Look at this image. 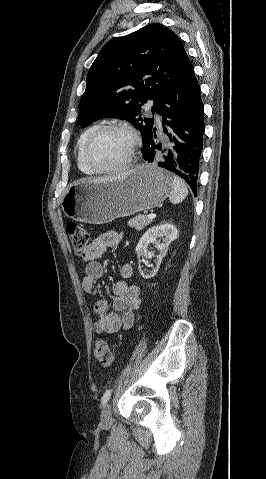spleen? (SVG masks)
Masks as SVG:
<instances>
[{
    "mask_svg": "<svg viewBox=\"0 0 266 479\" xmlns=\"http://www.w3.org/2000/svg\"><path fill=\"white\" fill-rule=\"evenodd\" d=\"M188 195V189L186 184L177 176L173 177L172 191L170 193V202L172 204H178L182 202Z\"/></svg>",
    "mask_w": 266,
    "mask_h": 479,
    "instance_id": "obj_1",
    "label": "spleen"
}]
</instances>
